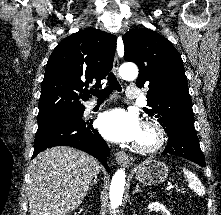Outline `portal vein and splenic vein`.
I'll return each mask as SVG.
<instances>
[{
	"instance_id": "1",
	"label": "portal vein and splenic vein",
	"mask_w": 221,
	"mask_h": 215,
	"mask_svg": "<svg viewBox=\"0 0 221 215\" xmlns=\"http://www.w3.org/2000/svg\"><path fill=\"white\" fill-rule=\"evenodd\" d=\"M173 189V186H169V187H167V191H171Z\"/></svg>"
}]
</instances>
